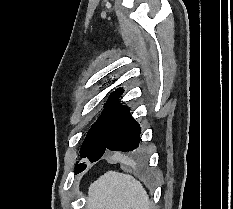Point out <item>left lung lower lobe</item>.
I'll return each instance as SVG.
<instances>
[{
  "label": "left lung lower lobe",
  "instance_id": "left-lung-lower-lobe-1",
  "mask_svg": "<svg viewBox=\"0 0 233 209\" xmlns=\"http://www.w3.org/2000/svg\"><path fill=\"white\" fill-rule=\"evenodd\" d=\"M140 131L141 128L139 124L133 119L131 114H128L120 122V124L114 130L107 148L106 152L109 151H133L137 148L140 141ZM101 158V157H100ZM100 158L88 157L91 162H95ZM86 168L84 163L75 166V173H80Z\"/></svg>",
  "mask_w": 233,
  "mask_h": 209
}]
</instances>
